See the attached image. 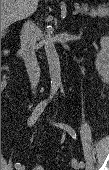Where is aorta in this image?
I'll use <instances>...</instances> for the list:
<instances>
[{
  "label": "aorta",
  "mask_w": 109,
  "mask_h": 170,
  "mask_svg": "<svg viewBox=\"0 0 109 170\" xmlns=\"http://www.w3.org/2000/svg\"><path fill=\"white\" fill-rule=\"evenodd\" d=\"M44 49L49 66V74L51 79V89L48 100H52L54 95L57 93L58 88L61 84V67L58 53L56 51L54 41L52 38L51 29H47L44 39Z\"/></svg>",
  "instance_id": "762f6f07"
}]
</instances>
